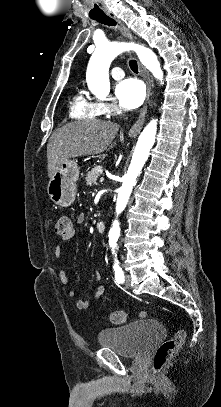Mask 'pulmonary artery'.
I'll list each match as a JSON object with an SVG mask.
<instances>
[{"label": "pulmonary artery", "instance_id": "pulmonary-artery-1", "mask_svg": "<svg viewBox=\"0 0 221 407\" xmlns=\"http://www.w3.org/2000/svg\"><path fill=\"white\" fill-rule=\"evenodd\" d=\"M111 75H112V77L115 78V79H122V78L124 77L125 73H124V71H123L122 68H120V67H114V68L111 70Z\"/></svg>", "mask_w": 221, "mask_h": 407}]
</instances>
